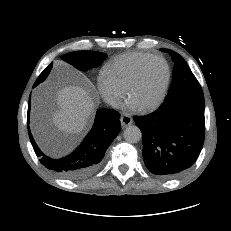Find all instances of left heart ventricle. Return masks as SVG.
<instances>
[{"label":"left heart ventricle","instance_id":"left-heart-ventricle-1","mask_svg":"<svg viewBox=\"0 0 231 231\" xmlns=\"http://www.w3.org/2000/svg\"><path fill=\"white\" fill-rule=\"evenodd\" d=\"M166 77V68L160 60H154L145 68L140 82L133 89L129 100L144 106L159 95Z\"/></svg>","mask_w":231,"mask_h":231}]
</instances>
